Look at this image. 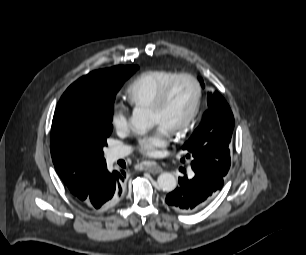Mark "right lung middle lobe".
I'll return each mask as SVG.
<instances>
[{
    "label": "right lung middle lobe",
    "mask_w": 306,
    "mask_h": 255,
    "mask_svg": "<svg viewBox=\"0 0 306 255\" xmlns=\"http://www.w3.org/2000/svg\"><path fill=\"white\" fill-rule=\"evenodd\" d=\"M138 66H121L118 82L94 95H68L58 103L51 130V155L63 181L73 183L90 169L104 165L103 147L112 132L116 93Z\"/></svg>",
    "instance_id": "right-lung-middle-lobe-1"
}]
</instances>
